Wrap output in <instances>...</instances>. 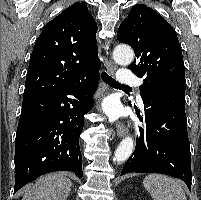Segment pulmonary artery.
Here are the masks:
<instances>
[{
	"label": "pulmonary artery",
	"instance_id": "pulmonary-artery-1",
	"mask_svg": "<svg viewBox=\"0 0 201 200\" xmlns=\"http://www.w3.org/2000/svg\"><path fill=\"white\" fill-rule=\"evenodd\" d=\"M119 83L123 85H139L140 79L131 71L122 69L117 76Z\"/></svg>",
	"mask_w": 201,
	"mask_h": 200
}]
</instances>
